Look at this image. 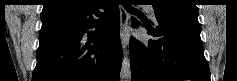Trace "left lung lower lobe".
<instances>
[{
  "instance_id": "obj_1",
  "label": "left lung lower lobe",
  "mask_w": 237,
  "mask_h": 81,
  "mask_svg": "<svg viewBox=\"0 0 237 81\" xmlns=\"http://www.w3.org/2000/svg\"><path fill=\"white\" fill-rule=\"evenodd\" d=\"M153 28L144 23L149 34L158 39L142 43L130 39L132 81L189 79L210 81V70L204 57L198 19L165 17ZM133 27L139 22L133 19Z\"/></svg>"
}]
</instances>
